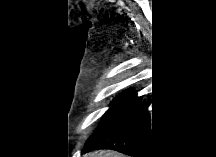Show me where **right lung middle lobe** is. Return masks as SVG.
I'll return each mask as SVG.
<instances>
[{"instance_id": "obj_1", "label": "right lung middle lobe", "mask_w": 216, "mask_h": 157, "mask_svg": "<svg viewBox=\"0 0 216 157\" xmlns=\"http://www.w3.org/2000/svg\"><path fill=\"white\" fill-rule=\"evenodd\" d=\"M135 96L136 93L134 92H125L111 102V107L103 116L100 125L97 127L93 135L87 140L85 147L96 144L118 125L132 104Z\"/></svg>"}]
</instances>
